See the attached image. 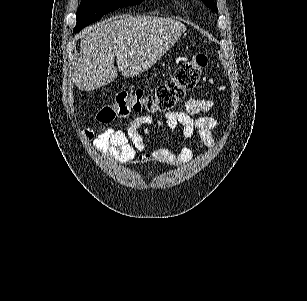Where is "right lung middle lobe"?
Segmentation results:
<instances>
[{
    "label": "right lung middle lobe",
    "mask_w": 307,
    "mask_h": 301,
    "mask_svg": "<svg viewBox=\"0 0 307 301\" xmlns=\"http://www.w3.org/2000/svg\"><path fill=\"white\" fill-rule=\"evenodd\" d=\"M143 0H81L76 12L77 24L74 33L115 9L141 3Z\"/></svg>",
    "instance_id": "right-lung-middle-lobe-1"
}]
</instances>
